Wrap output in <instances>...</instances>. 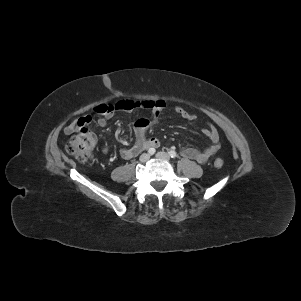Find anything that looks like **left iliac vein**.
<instances>
[{
  "label": "left iliac vein",
  "instance_id": "4c4485c4",
  "mask_svg": "<svg viewBox=\"0 0 301 301\" xmlns=\"http://www.w3.org/2000/svg\"><path fill=\"white\" fill-rule=\"evenodd\" d=\"M156 157L165 161H169L170 160V156L166 153V152H158L156 154Z\"/></svg>",
  "mask_w": 301,
  "mask_h": 301
}]
</instances>
